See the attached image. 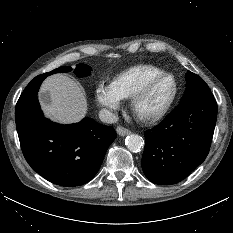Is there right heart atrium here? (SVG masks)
Wrapping results in <instances>:
<instances>
[{
  "mask_svg": "<svg viewBox=\"0 0 233 233\" xmlns=\"http://www.w3.org/2000/svg\"><path fill=\"white\" fill-rule=\"evenodd\" d=\"M95 96L98 104L109 116L114 115L122 105V98L112 83L99 82L96 87Z\"/></svg>",
  "mask_w": 233,
  "mask_h": 233,
  "instance_id": "d8ad5b80",
  "label": "right heart atrium"
}]
</instances>
